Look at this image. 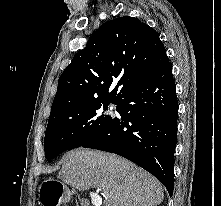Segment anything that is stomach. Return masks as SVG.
<instances>
[{"mask_svg": "<svg viewBox=\"0 0 221 206\" xmlns=\"http://www.w3.org/2000/svg\"><path fill=\"white\" fill-rule=\"evenodd\" d=\"M53 185V190L50 195H44L42 190L40 192V203L41 206H48V205H54V206H60V204L65 203L70 200L71 198V192L69 188L62 182L58 181H47L46 184Z\"/></svg>", "mask_w": 221, "mask_h": 206, "instance_id": "stomach-1", "label": "stomach"}]
</instances>
